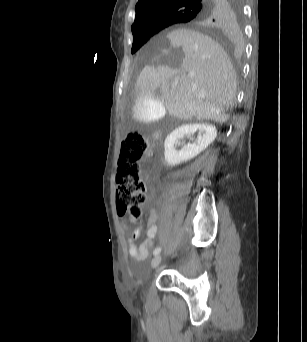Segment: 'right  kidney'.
<instances>
[{"label":"right kidney","instance_id":"right-kidney-1","mask_svg":"<svg viewBox=\"0 0 307 342\" xmlns=\"http://www.w3.org/2000/svg\"><path fill=\"white\" fill-rule=\"evenodd\" d=\"M199 132V136L195 144H187L183 146L182 150H175V144H178V140L184 138L186 134H195ZM217 136V130L212 124H185L173 130L169 136H167L164 142L165 148V162L167 166H178L182 162H188L195 156H198L200 152L206 150L209 144L214 142Z\"/></svg>","mask_w":307,"mask_h":342}]
</instances>
